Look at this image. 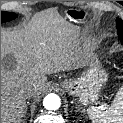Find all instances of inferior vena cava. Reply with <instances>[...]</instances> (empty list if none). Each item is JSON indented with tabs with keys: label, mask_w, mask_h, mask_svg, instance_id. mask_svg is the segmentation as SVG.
I'll use <instances>...</instances> for the list:
<instances>
[{
	"label": "inferior vena cava",
	"mask_w": 123,
	"mask_h": 123,
	"mask_svg": "<svg viewBox=\"0 0 123 123\" xmlns=\"http://www.w3.org/2000/svg\"><path fill=\"white\" fill-rule=\"evenodd\" d=\"M24 93L27 98L35 96V90L33 85H27L24 89Z\"/></svg>",
	"instance_id": "obj_1"
}]
</instances>
